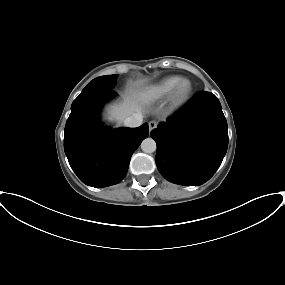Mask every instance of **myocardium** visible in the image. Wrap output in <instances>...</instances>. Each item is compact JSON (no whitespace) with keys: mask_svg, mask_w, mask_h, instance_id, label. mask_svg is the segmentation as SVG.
<instances>
[{"mask_svg":"<svg viewBox=\"0 0 285 285\" xmlns=\"http://www.w3.org/2000/svg\"><path fill=\"white\" fill-rule=\"evenodd\" d=\"M192 93V82L189 79H182L172 93L171 103L173 107L178 108L184 105L191 98Z\"/></svg>","mask_w":285,"mask_h":285,"instance_id":"myocardium-1","label":"myocardium"}]
</instances>
